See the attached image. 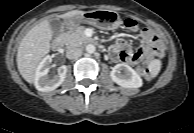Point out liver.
Here are the masks:
<instances>
[{
    "label": "liver",
    "mask_w": 194,
    "mask_h": 133,
    "mask_svg": "<svg viewBox=\"0 0 194 133\" xmlns=\"http://www.w3.org/2000/svg\"><path fill=\"white\" fill-rule=\"evenodd\" d=\"M82 13L84 12L80 10H72L55 17L71 19ZM52 38L50 20L46 19L30 29L21 40L16 61L18 71L28 83L34 82L37 66L42 58L49 53Z\"/></svg>",
    "instance_id": "obj_1"
}]
</instances>
